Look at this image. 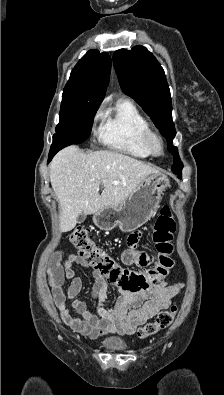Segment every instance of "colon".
I'll use <instances>...</instances> for the list:
<instances>
[{
  "label": "colon",
  "mask_w": 224,
  "mask_h": 395,
  "mask_svg": "<svg viewBox=\"0 0 224 395\" xmlns=\"http://www.w3.org/2000/svg\"><path fill=\"white\" fill-rule=\"evenodd\" d=\"M176 232V223L171 209L164 206L157 218L153 232V241L159 253L157 265L147 274L121 267L112 257L103 252L85 229H76L71 233L70 241L78 250L85 263L93 266L111 282L132 292L146 290L151 284L158 282L169 275L174 266L171 258L173 251L172 240ZM177 313L175 305L161 311L156 319L146 323L138 329L137 335L144 339L167 328L174 320Z\"/></svg>",
  "instance_id": "colon-1"
}]
</instances>
